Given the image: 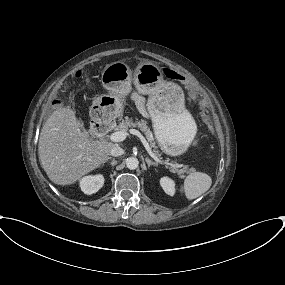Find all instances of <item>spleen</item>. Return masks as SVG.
<instances>
[{
	"label": "spleen",
	"instance_id": "3e777b00",
	"mask_svg": "<svg viewBox=\"0 0 285 285\" xmlns=\"http://www.w3.org/2000/svg\"><path fill=\"white\" fill-rule=\"evenodd\" d=\"M211 184L212 179L208 174L193 172L186 177L181 191L185 193L187 199L193 200L209 190Z\"/></svg>",
	"mask_w": 285,
	"mask_h": 285
}]
</instances>
